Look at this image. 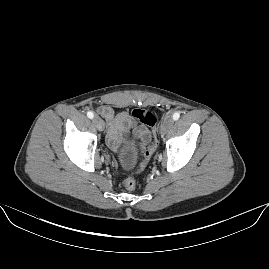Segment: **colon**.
I'll use <instances>...</instances> for the list:
<instances>
[{
  "label": "colon",
  "instance_id": "colon-1",
  "mask_svg": "<svg viewBox=\"0 0 269 269\" xmlns=\"http://www.w3.org/2000/svg\"><path fill=\"white\" fill-rule=\"evenodd\" d=\"M132 118L140 122L148 128V132L144 138V142L147 144L148 149L144 152L145 159L151 157L157 146V118L156 116L147 109L134 108L131 112ZM147 161H143L140 164L141 168H144ZM137 182L132 177H127L123 180V187L127 191H133L136 188Z\"/></svg>",
  "mask_w": 269,
  "mask_h": 269
}]
</instances>
